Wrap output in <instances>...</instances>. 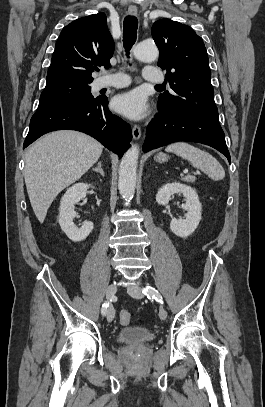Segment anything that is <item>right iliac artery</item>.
Here are the masks:
<instances>
[{
	"instance_id": "82829eb1",
	"label": "right iliac artery",
	"mask_w": 265,
	"mask_h": 407,
	"mask_svg": "<svg viewBox=\"0 0 265 407\" xmlns=\"http://www.w3.org/2000/svg\"><path fill=\"white\" fill-rule=\"evenodd\" d=\"M108 306H109V303H108V302H104V303L102 304V310H101L102 315H105V314H106V311H107Z\"/></svg>"
}]
</instances>
